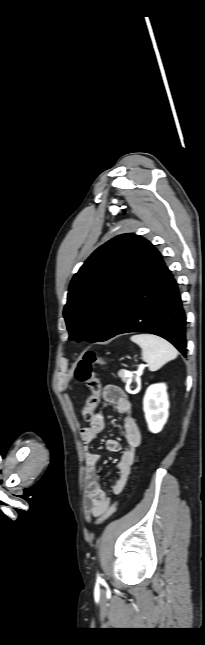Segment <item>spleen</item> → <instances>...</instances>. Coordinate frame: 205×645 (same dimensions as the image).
<instances>
[{"label":"spleen","mask_w":205,"mask_h":645,"mask_svg":"<svg viewBox=\"0 0 205 645\" xmlns=\"http://www.w3.org/2000/svg\"><path fill=\"white\" fill-rule=\"evenodd\" d=\"M131 341L142 349V359L148 363L149 370H159L167 362L178 356L176 348L167 340L153 334H137Z\"/></svg>","instance_id":"spleen-1"}]
</instances>
